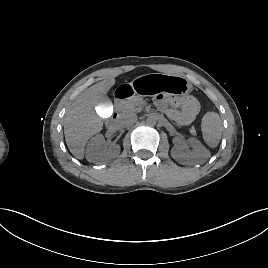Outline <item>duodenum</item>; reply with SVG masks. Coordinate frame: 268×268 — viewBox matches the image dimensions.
Instances as JSON below:
<instances>
[{
  "instance_id": "duodenum-1",
  "label": "duodenum",
  "mask_w": 268,
  "mask_h": 268,
  "mask_svg": "<svg viewBox=\"0 0 268 268\" xmlns=\"http://www.w3.org/2000/svg\"><path fill=\"white\" fill-rule=\"evenodd\" d=\"M129 96V92L126 90H119L115 94V102L117 105H120V103L126 99ZM118 119V113H114L111 118H109V123L114 124Z\"/></svg>"
}]
</instances>
